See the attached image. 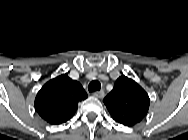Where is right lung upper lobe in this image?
Here are the masks:
<instances>
[{"label":"right lung upper lobe","mask_w":188,"mask_h":140,"mask_svg":"<svg viewBox=\"0 0 188 140\" xmlns=\"http://www.w3.org/2000/svg\"><path fill=\"white\" fill-rule=\"evenodd\" d=\"M86 98L82 85L63 74L41 88L35 98V109L45 121L58 125L72 118L78 103Z\"/></svg>","instance_id":"right-lung-upper-lobe-1"}]
</instances>
